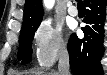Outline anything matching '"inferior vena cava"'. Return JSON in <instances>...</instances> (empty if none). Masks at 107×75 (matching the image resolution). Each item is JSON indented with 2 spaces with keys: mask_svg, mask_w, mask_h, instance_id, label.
Segmentation results:
<instances>
[{
  "mask_svg": "<svg viewBox=\"0 0 107 75\" xmlns=\"http://www.w3.org/2000/svg\"><path fill=\"white\" fill-rule=\"evenodd\" d=\"M58 75H70L69 53L64 49L59 57Z\"/></svg>",
  "mask_w": 107,
  "mask_h": 75,
  "instance_id": "inferior-vena-cava-1",
  "label": "inferior vena cava"
}]
</instances>
